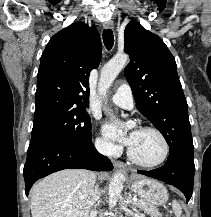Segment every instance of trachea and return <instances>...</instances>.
<instances>
[{
	"instance_id": "trachea-1",
	"label": "trachea",
	"mask_w": 211,
	"mask_h": 217,
	"mask_svg": "<svg viewBox=\"0 0 211 217\" xmlns=\"http://www.w3.org/2000/svg\"><path fill=\"white\" fill-rule=\"evenodd\" d=\"M103 42L105 47L110 50L114 44V35L111 29L103 30Z\"/></svg>"
}]
</instances>
